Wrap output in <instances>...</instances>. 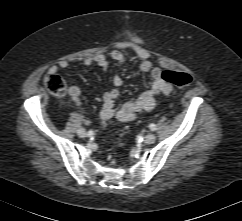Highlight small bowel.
Instances as JSON below:
<instances>
[{
    "label": "small bowel",
    "mask_w": 242,
    "mask_h": 221,
    "mask_svg": "<svg viewBox=\"0 0 242 221\" xmlns=\"http://www.w3.org/2000/svg\"><path fill=\"white\" fill-rule=\"evenodd\" d=\"M130 52L141 60L139 69L142 72H149L152 82L148 90L143 92L137 98L125 102L121 107L116 108L115 101L119 96V88L123 81L119 76L112 80L113 87L103 94V106L100 112L103 121L117 119L120 121H132L140 113L150 111L157 105V97L160 95L168 96L172 92V86L164 81L161 77L162 70L152 65L149 51L140 43L135 41H126L109 52V54H99L93 58H85L82 64L86 67L96 63L100 68L106 70L109 67V59L114 60L117 64L125 61L124 52ZM69 62L60 61L57 65L50 67V72H57L59 69H67ZM72 100L78 107L79 113L84 117V109L81 103V90L78 86H71L69 89Z\"/></svg>",
    "instance_id": "c3829d8e"
}]
</instances>
